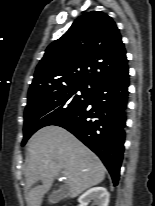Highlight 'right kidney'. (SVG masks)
<instances>
[{
	"label": "right kidney",
	"instance_id": "1",
	"mask_svg": "<svg viewBox=\"0 0 155 206\" xmlns=\"http://www.w3.org/2000/svg\"><path fill=\"white\" fill-rule=\"evenodd\" d=\"M110 194L104 187H93L83 193L78 201L81 206H87L90 200H93L96 206H108Z\"/></svg>",
	"mask_w": 155,
	"mask_h": 206
}]
</instances>
